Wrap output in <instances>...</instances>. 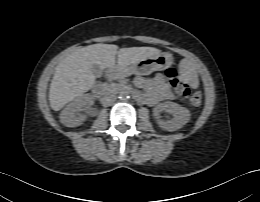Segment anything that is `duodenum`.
Wrapping results in <instances>:
<instances>
[{
  "mask_svg": "<svg viewBox=\"0 0 260 202\" xmlns=\"http://www.w3.org/2000/svg\"><path fill=\"white\" fill-rule=\"evenodd\" d=\"M122 75V72L121 70L117 69V68H110L108 71H107V76L110 77V78H116V77H119ZM94 90H96L97 92L100 91V88H98L97 85L94 86ZM136 95V93H135Z\"/></svg>",
  "mask_w": 260,
  "mask_h": 202,
  "instance_id": "obj_1",
  "label": "duodenum"
}]
</instances>
